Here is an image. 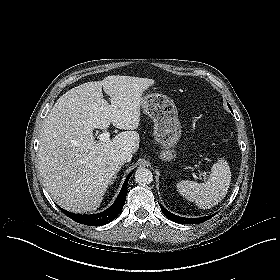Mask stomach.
Instances as JSON below:
<instances>
[{
  "mask_svg": "<svg viewBox=\"0 0 280 280\" xmlns=\"http://www.w3.org/2000/svg\"><path fill=\"white\" fill-rule=\"evenodd\" d=\"M141 107L154 122V137L162 149L159 157L171 161L176 156L175 147L181 137L175 103L165 95L153 93L143 97Z\"/></svg>",
  "mask_w": 280,
  "mask_h": 280,
  "instance_id": "1",
  "label": "stomach"
}]
</instances>
